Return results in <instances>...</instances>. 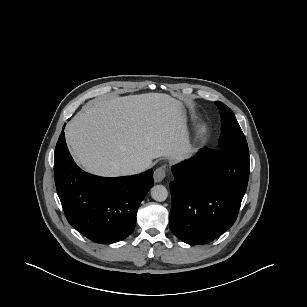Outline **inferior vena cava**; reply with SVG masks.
<instances>
[{"label":"inferior vena cava","instance_id":"inferior-vena-cava-1","mask_svg":"<svg viewBox=\"0 0 307 307\" xmlns=\"http://www.w3.org/2000/svg\"><path fill=\"white\" fill-rule=\"evenodd\" d=\"M146 169H147L146 165H135L132 167L125 168L123 172L125 175H133V174L141 173Z\"/></svg>","mask_w":307,"mask_h":307}]
</instances>
